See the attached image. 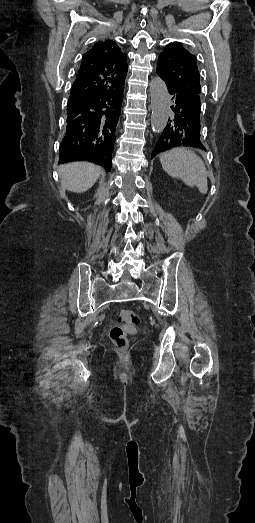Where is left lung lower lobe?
<instances>
[{"mask_svg":"<svg viewBox=\"0 0 255 523\" xmlns=\"http://www.w3.org/2000/svg\"><path fill=\"white\" fill-rule=\"evenodd\" d=\"M167 85V82H164ZM166 93L173 95L171 99L174 114H169L166 128L161 130L160 137L152 145L151 152L148 154L150 159L155 154L165 153L167 147L171 148H196L205 149V144L200 140V116L196 114V106L192 103L183 101V93L177 92L173 86H165Z\"/></svg>","mask_w":255,"mask_h":523,"instance_id":"obj_1","label":"left lung lower lobe"}]
</instances>
